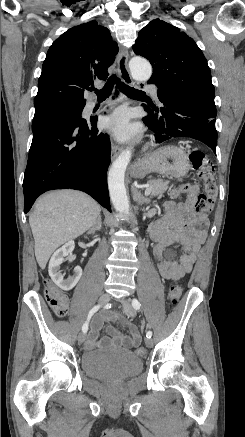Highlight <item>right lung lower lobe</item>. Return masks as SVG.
<instances>
[{
	"instance_id": "right-lung-lower-lobe-1",
	"label": "right lung lower lobe",
	"mask_w": 245,
	"mask_h": 437,
	"mask_svg": "<svg viewBox=\"0 0 245 437\" xmlns=\"http://www.w3.org/2000/svg\"><path fill=\"white\" fill-rule=\"evenodd\" d=\"M97 119H54L33 131L23 190L27 213L36 198L53 189L86 192L111 212L107 168L111 145Z\"/></svg>"
}]
</instances>
